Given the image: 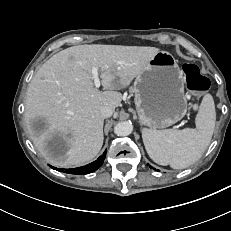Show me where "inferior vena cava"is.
Returning <instances> with one entry per match:
<instances>
[{
    "mask_svg": "<svg viewBox=\"0 0 231 231\" xmlns=\"http://www.w3.org/2000/svg\"><path fill=\"white\" fill-rule=\"evenodd\" d=\"M113 112H114V110L109 106H103L100 110V113H101L103 118L111 117Z\"/></svg>",
    "mask_w": 231,
    "mask_h": 231,
    "instance_id": "1",
    "label": "inferior vena cava"
}]
</instances>
